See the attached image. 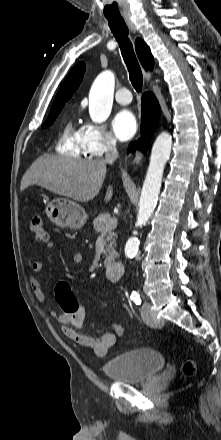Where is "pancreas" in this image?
<instances>
[{
	"instance_id": "1",
	"label": "pancreas",
	"mask_w": 221,
	"mask_h": 440,
	"mask_svg": "<svg viewBox=\"0 0 221 440\" xmlns=\"http://www.w3.org/2000/svg\"><path fill=\"white\" fill-rule=\"evenodd\" d=\"M110 219L111 217L109 213H102L98 215V217L93 221V228L96 233H106V242L110 243L106 248L107 252L109 253L107 257L109 259H114L116 256V252L113 245L115 244L116 234L112 231V229H107Z\"/></svg>"
}]
</instances>
